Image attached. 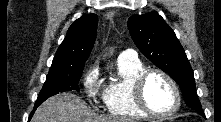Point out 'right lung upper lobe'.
I'll list each match as a JSON object with an SVG mask.
<instances>
[{
    "label": "right lung upper lobe",
    "instance_id": "cb5924a9",
    "mask_svg": "<svg viewBox=\"0 0 221 122\" xmlns=\"http://www.w3.org/2000/svg\"><path fill=\"white\" fill-rule=\"evenodd\" d=\"M98 18L95 14L83 15L68 29L59 46L52 66L84 65L96 38Z\"/></svg>",
    "mask_w": 221,
    "mask_h": 122
}]
</instances>
